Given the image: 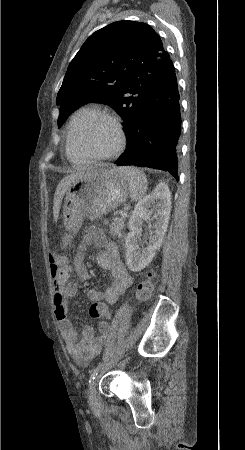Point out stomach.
Returning <instances> with one entry per match:
<instances>
[{
    "label": "stomach",
    "mask_w": 245,
    "mask_h": 450,
    "mask_svg": "<svg viewBox=\"0 0 245 450\" xmlns=\"http://www.w3.org/2000/svg\"><path fill=\"white\" fill-rule=\"evenodd\" d=\"M128 194V182L117 168L92 170L74 180L64 200L63 221L69 235L63 238L62 246L68 244L85 218H101L123 204Z\"/></svg>",
    "instance_id": "0dacf381"
}]
</instances>
